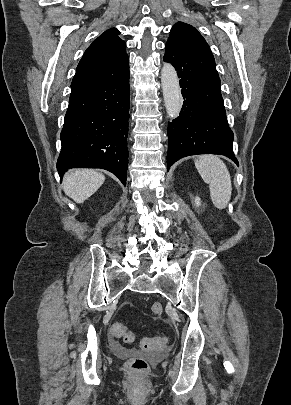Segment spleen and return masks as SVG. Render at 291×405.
<instances>
[{
    "label": "spleen",
    "mask_w": 291,
    "mask_h": 405,
    "mask_svg": "<svg viewBox=\"0 0 291 405\" xmlns=\"http://www.w3.org/2000/svg\"><path fill=\"white\" fill-rule=\"evenodd\" d=\"M195 166L204 182L209 184L214 206L218 209L226 208L231 198L232 183L225 163L217 156L203 155L195 160Z\"/></svg>",
    "instance_id": "3e777b00"
}]
</instances>
